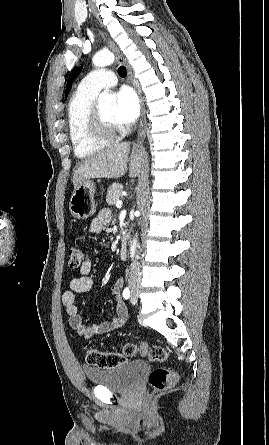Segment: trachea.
Wrapping results in <instances>:
<instances>
[{
  "instance_id": "1",
  "label": "trachea",
  "mask_w": 269,
  "mask_h": 445,
  "mask_svg": "<svg viewBox=\"0 0 269 445\" xmlns=\"http://www.w3.org/2000/svg\"><path fill=\"white\" fill-rule=\"evenodd\" d=\"M118 74L120 77H126V75H127L126 68L124 66H120L118 68Z\"/></svg>"
}]
</instances>
